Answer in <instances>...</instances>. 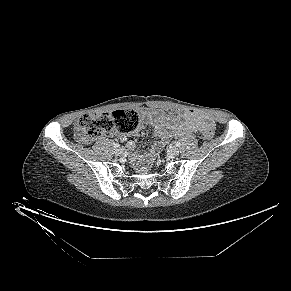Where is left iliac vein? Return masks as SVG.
I'll return each mask as SVG.
<instances>
[{
	"label": "left iliac vein",
	"instance_id": "obj_1",
	"mask_svg": "<svg viewBox=\"0 0 291 291\" xmlns=\"http://www.w3.org/2000/svg\"><path fill=\"white\" fill-rule=\"evenodd\" d=\"M168 154H169V156H171V157H176V156H178V154H179V149H178L177 147H170V148L168 149Z\"/></svg>",
	"mask_w": 291,
	"mask_h": 291
}]
</instances>
